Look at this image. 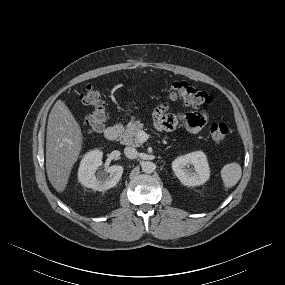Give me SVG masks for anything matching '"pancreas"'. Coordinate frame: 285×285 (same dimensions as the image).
I'll list each match as a JSON object with an SVG mask.
<instances>
[{
    "label": "pancreas",
    "instance_id": "cf45deb5",
    "mask_svg": "<svg viewBox=\"0 0 285 285\" xmlns=\"http://www.w3.org/2000/svg\"><path fill=\"white\" fill-rule=\"evenodd\" d=\"M143 124L139 121H133L127 124L124 128L122 125L117 127L121 129L120 142L124 145L139 147L141 142L138 140L137 135L141 129H143Z\"/></svg>",
    "mask_w": 285,
    "mask_h": 285
}]
</instances>
